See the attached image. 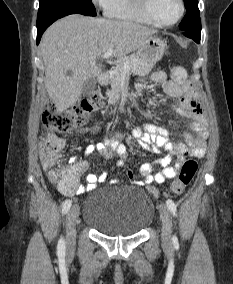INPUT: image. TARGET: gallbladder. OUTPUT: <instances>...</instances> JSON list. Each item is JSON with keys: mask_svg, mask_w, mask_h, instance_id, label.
<instances>
[{"mask_svg": "<svg viewBox=\"0 0 233 284\" xmlns=\"http://www.w3.org/2000/svg\"><path fill=\"white\" fill-rule=\"evenodd\" d=\"M96 84L97 82L95 78L86 79L82 86L81 95L83 96L91 95L96 89Z\"/></svg>", "mask_w": 233, "mask_h": 284, "instance_id": "gallbladder-1", "label": "gallbladder"}]
</instances>
